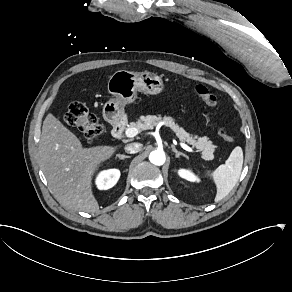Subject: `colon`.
I'll return each mask as SVG.
<instances>
[{"label":"colon","instance_id":"1","mask_svg":"<svg viewBox=\"0 0 292 292\" xmlns=\"http://www.w3.org/2000/svg\"><path fill=\"white\" fill-rule=\"evenodd\" d=\"M195 92L209 107L217 105V96L205 85H197ZM66 121L78 127L85 135L87 140L97 139L103 132V126L97 117L91 114L80 101L72 102L65 113ZM219 134L227 142H233L237 138L238 131L236 128L223 125L219 128Z\"/></svg>","mask_w":292,"mask_h":292}]
</instances>
